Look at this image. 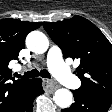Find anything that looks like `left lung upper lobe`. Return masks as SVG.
Instances as JSON below:
<instances>
[{"mask_svg": "<svg viewBox=\"0 0 112 112\" xmlns=\"http://www.w3.org/2000/svg\"><path fill=\"white\" fill-rule=\"evenodd\" d=\"M65 58L80 60L76 68L82 93L112 97V44L89 20L75 16L58 22H43Z\"/></svg>", "mask_w": 112, "mask_h": 112, "instance_id": "left-lung-upper-lobe-1", "label": "left lung upper lobe"}]
</instances>
